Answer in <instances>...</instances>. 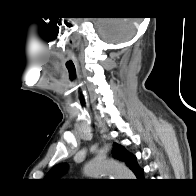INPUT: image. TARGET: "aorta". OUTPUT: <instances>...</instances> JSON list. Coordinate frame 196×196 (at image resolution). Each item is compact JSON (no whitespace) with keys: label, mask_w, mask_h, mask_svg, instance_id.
<instances>
[{"label":"aorta","mask_w":196,"mask_h":196,"mask_svg":"<svg viewBox=\"0 0 196 196\" xmlns=\"http://www.w3.org/2000/svg\"><path fill=\"white\" fill-rule=\"evenodd\" d=\"M84 172L90 177L109 175L115 179H134V174L128 167L112 159H94L85 165Z\"/></svg>","instance_id":"obj_1"}]
</instances>
